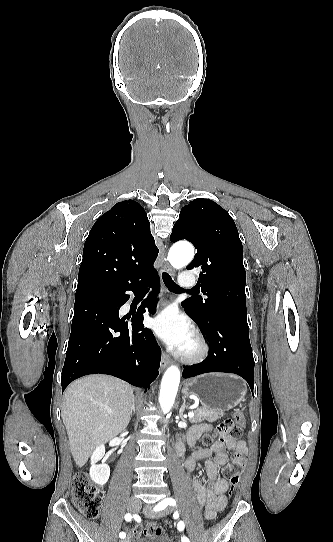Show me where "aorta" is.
<instances>
[{
  "label": "aorta",
  "mask_w": 333,
  "mask_h": 542,
  "mask_svg": "<svg viewBox=\"0 0 333 542\" xmlns=\"http://www.w3.org/2000/svg\"><path fill=\"white\" fill-rule=\"evenodd\" d=\"M194 256V248L187 242H178L169 250L168 258L173 268H183L191 262ZM181 372L177 366L167 368L161 382L159 404L163 414L170 412L176 398L178 386L180 384Z\"/></svg>",
  "instance_id": "762f6f07"
}]
</instances>
